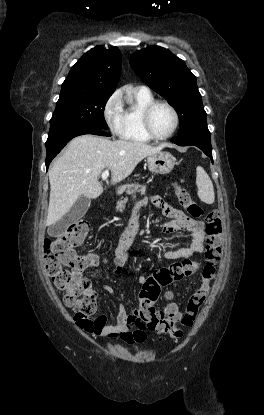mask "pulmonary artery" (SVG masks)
<instances>
[{"label": "pulmonary artery", "instance_id": "1", "mask_svg": "<svg viewBox=\"0 0 264 415\" xmlns=\"http://www.w3.org/2000/svg\"><path fill=\"white\" fill-rule=\"evenodd\" d=\"M138 90H141V91H150L148 89V87H146V86H140V87H138Z\"/></svg>", "mask_w": 264, "mask_h": 415}]
</instances>
